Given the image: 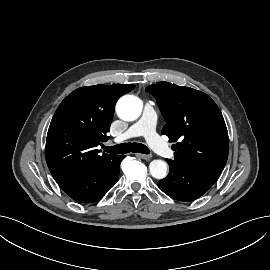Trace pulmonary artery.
I'll return each instance as SVG.
<instances>
[{"label": "pulmonary artery", "mask_w": 270, "mask_h": 270, "mask_svg": "<svg viewBox=\"0 0 270 270\" xmlns=\"http://www.w3.org/2000/svg\"><path fill=\"white\" fill-rule=\"evenodd\" d=\"M157 117L152 103L146 102L142 117L124 133L116 137V141H124L132 137L143 136L152 149L160 156L169 158L172 149L160 138L156 130Z\"/></svg>", "instance_id": "e3ab8cb5"}]
</instances>
